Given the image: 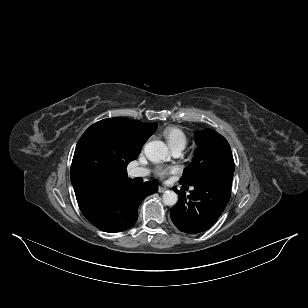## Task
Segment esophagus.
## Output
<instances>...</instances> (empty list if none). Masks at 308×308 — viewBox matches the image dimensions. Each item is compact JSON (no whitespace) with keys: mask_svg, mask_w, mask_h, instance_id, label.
I'll use <instances>...</instances> for the list:
<instances>
[{"mask_svg":"<svg viewBox=\"0 0 308 308\" xmlns=\"http://www.w3.org/2000/svg\"><path fill=\"white\" fill-rule=\"evenodd\" d=\"M167 191V188L166 187H163V186H159L158 187V192L159 193H164V192H166Z\"/></svg>","mask_w":308,"mask_h":308,"instance_id":"34e87169","label":"esophagus"}]
</instances>
